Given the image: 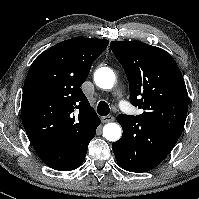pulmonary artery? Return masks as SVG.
Wrapping results in <instances>:
<instances>
[{"label":"pulmonary artery","instance_id":"pulmonary-artery-1","mask_svg":"<svg viewBox=\"0 0 199 199\" xmlns=\"http://www.w3.org/2000/svg\"><path fill=\"white\" fill-rule=\"evenodd\" d=\"M117 97H118V99L120 100V102L123 103V93H122L121 90H119V91L117 92Z\"/></svg>","mask_w":199,"mask_h":199}]
</instances>
